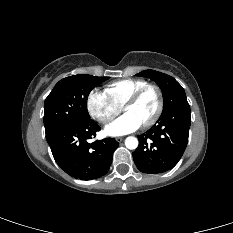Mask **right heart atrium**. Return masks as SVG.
Wrapping results in <instances>:
<instances>
[{
  "label": "right heart atrium",
  "mask_w": 233,
  "mask_h": 233,
  "mask_svg": "<svg viewBox=\"0 0 233 233\" xmlns=\"http://www.w3.org/2000/svg\"><path fill=\"white\" fill-rule=\"evenodd\" d=\"M86 106L90 116L101 124H106L117 116L121 108L112 103L104 93L91 91Z\"/></svg>",
  "instance_id": "obj_1"
}]
</instances>
